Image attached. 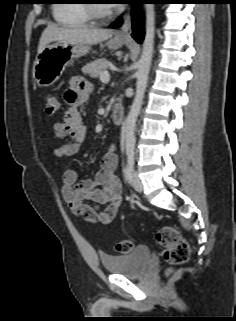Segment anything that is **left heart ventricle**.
<instances>
[{"label":"left heart ventricle","instance_id":"b2bd125f","mask_svg":"<svg viewBox=\"0 0 236 321\" xmlns=\"http://www.w3.org/2000/svg\"><path fill=\"white\" fill-rule=\"evenodd\" d=\"M99 9L104 12L106 11L108 8H110V6L108 4L103 3V1H99L98 3Z\"/></svg>","mask_w":236,"mask_h":321}]
</instances>
